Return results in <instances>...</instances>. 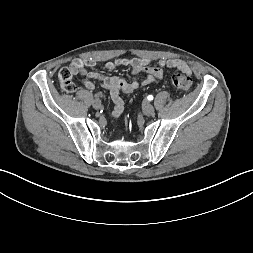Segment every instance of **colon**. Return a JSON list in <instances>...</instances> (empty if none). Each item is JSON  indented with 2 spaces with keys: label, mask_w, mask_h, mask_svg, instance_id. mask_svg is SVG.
Returning a JSON list of instances; mask_svg holds the SVG:
<instances>
[{
  "label": "colon",
  "mask_w": 253,
  "mask_h": 253,
  "mask_svg": "<svg viewBox=\"0 0 253 253\" xmlns=\"http://www.w3.org/2000/svg\"><path fill=\"white\" fill-rule=\"evenodd\" d=\"M76 71L69 67H63L58 72V82L60 87L66 92H73L76 89L73 78ZM172 85L181 90H187L192 85V77L186 71L174 73L171 77Z\"/></svg>",
  "instance_id": "obj_1"
}]
</instances>
